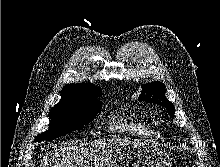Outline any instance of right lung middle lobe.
I'll list each match as a JSON object with an SVG mask.
<instances>
[{
  "mask_svg": "<svg viewBox=\"0 0 220 167\" xmlns=\"http://www.w3.org/2000/svg\"><path fill=\"white\" fill-rule=\"evenodd\" d=\"M96 99H75L60 101L50 113L49 129L39 134L35 140H52L90 123L101 109Z\"/></svg>",
  "mask_w": 220,
  "mask_h": 167,
  "instance_id": "1",
  "label": "right lung middle lobe"
}]
</instances>
